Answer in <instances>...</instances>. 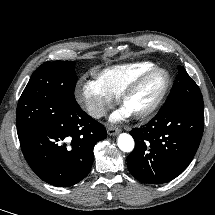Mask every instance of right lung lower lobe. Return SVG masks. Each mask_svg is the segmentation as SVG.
Masks as SVG:
<instances>
[{"instance_id": "1", "label": "right lung lower lobe", "mask_w": 215, "mask_h": 215, "mask_svg": "<svg viewBox=\"0 0 215 215\" xmlns=\"http://www.w3.org/2000/svg\"><path fill=\"white\" fill-rule=\"evenodd\" d=\"M105 138L104 126L76 104L55 113L19 141L26 161L42 180L68 187L89 173L93 148Z\"/></svg>"}]
</instances>
